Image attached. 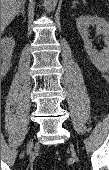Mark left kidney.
<instances>
[{
	"mask_svg": "<svg viewBox=\"0 0 109 170\" xmlns=\"http://www.w3.org/2000/svg\"><path fill=\"white\" fill-rule=\"evenodd\" d=\"M76 25L84 41L85 50L93 65L100 71H107L109 68V22L98 16L82 15L76 19ZM90 25H95L104 37L106 47H104L102 52L94 49L89 40L88 27Z\"/></svg>",
	"mask_w": 109,
	"mask_h": 170,
	"instance_id": "left-kidney-1",
	"label": "left kidney"
}]
</instances>
